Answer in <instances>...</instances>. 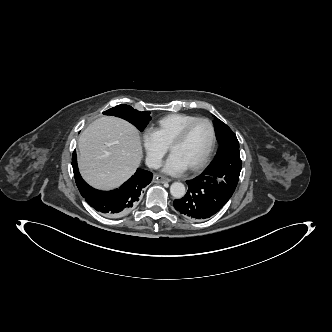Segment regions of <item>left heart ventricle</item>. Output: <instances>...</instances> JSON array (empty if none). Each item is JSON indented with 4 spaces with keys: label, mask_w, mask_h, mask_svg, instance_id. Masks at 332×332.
<instances>
[{
    "label": "left heart ventricle",
    "mask_w": 332,
    "mask_h": 332,
    "mask_svg": "<svg viewBox=\"0 0 332 332\" xmlns=\"http://www.w3.org/2000/svg\"><path fill=\"white\" fill-rule=\"evenodd\" d=\"M212 138L211 128L206 122H198L189 130L184 141L174 147L176 155L187 168L194 165L207 151Z\"/></svg>",
    "instance_id": "left-heart-ventricle-1"
}]
</instances>
